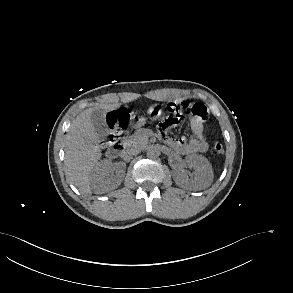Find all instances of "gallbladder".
Here are the masks:
<instances>
[{"instance_id": "obj_1", "label": "gallbladder", "mask_w": 293, "mask_h": 293, "mask_svg": "<svg viewBox=\"0 0 293 293\" xmlns=\"http://www.w3.org/2000/svg\"><path fill=\"white\" fill-rule=\"evenodd\" d=\"M104 116L105 110L103 109H97L91 115V121L94 129L101 136H106L108 133V127Z\"/></svg>"}]
</instances>
